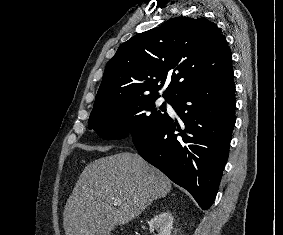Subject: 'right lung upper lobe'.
<instances>
[{
  "label": "right lung upper lobe",
  "mask_w": 283,
  "mask_h": 235,
  "mask_svg": "<svg viewBox=\"0 0 283 235\" xmlns=\"http://www.w3.org/2000/svg\"><path fill=\"white\" fill-rule=\"evenodd\" d=\"M226 38L206 18L181 16L133 36L106 65L95 105L144 96L164 97L218 81L230 73Z\"/></svg>",
  "instance_id": "obj_1"
}]
</instances>
